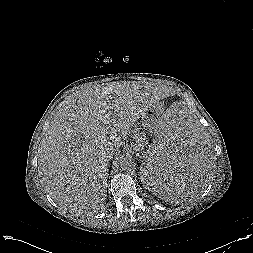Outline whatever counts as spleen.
Listing matches in <instances>:
<instances>
[{"instance_id": "3e777b00", "label": "spleen", "mask_w": 253, "mask_h": 253, "mask_svg": "<svg viewBox=\"0 0 253 253\" xmlns=\"http://www.w3.org/2000/svg\"><path fill=\"white\" fill-rule=\"evenodd\" d=\"M214 145L197 115L178 108L166 114L140 156L152 192L171 202L196 198L213 175Z\"/></svg>"}]
</instances>
